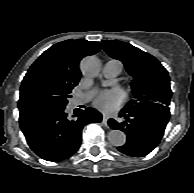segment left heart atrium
<instances>
[{
  "instance_id": "39dd6f15",
  "label": "left heart atrium",
  "mask_w": 194,
  "mask_h": 193,
  "mask_svg": "<svg viewBox=\"0 0 194 193\" xmlns=\"http://www.w3.org/2000/svg\"><path fill=\"white\" fill-rule=\"evenodd\" d=\"M123 102V95L119 90H105L99 93L95 99V106L105 112L116 111Z\"/></svg>"
}]
</instances>
